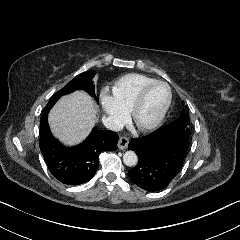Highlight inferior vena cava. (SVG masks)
Masks as SVG:
<instances>
[{"label": "inferior vena cava", "mask_w": 240, "mask_h": 240, "mask_svg": "<svg viewBox=\"0 0 240 240\" xmlns=\"http://www.w3.org/2000/svg\"><path fill=\"white\" fill-rule=\"evenodd\" d=\"M103 124L112 131H120L123 128L122 123L114 117H104Z\"/></svg>", "instance_id": "inferior-vena-cava-1"}]
</instances>
